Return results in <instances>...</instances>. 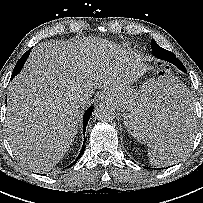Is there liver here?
I'll use <instances>...</instances> for the list:
<instances>
[{"label": "liver", "instance_id": "obj_1", "mask_svg": "<svg viewBox=\"0 0 203 203\" xmlns=\"http://www.w3.org/2000/svg\"><path fill=\"white\" fill-rule=\"evenodd\" d=\"M136 68L103 39L39 44L8 87L5 126L14 155L35 172L51 170L74 142L80 108L94 90L102 89L111 100L126 89ZM189 129L185 119L168 111L151 136L162 143Z\"/></svg>", "mask_w": 203, "mask_h": 203}]
</instances>
